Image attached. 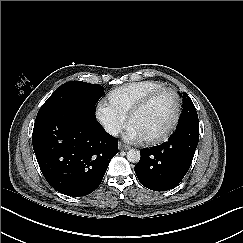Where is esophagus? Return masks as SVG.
Here are the masks:
<instances>
[{"label": "esophagus", "mask_w": 243, "mask_h": 243, "mask_svg": "<svg viewBox=\"0 0 243 243\" xmlns=\"http://www.w3.org/2000/svg\"><path fill=\"white\" fill-rule=\"evenodd\" d=\"M119 146H120V149H122V150H129L130 149V146L122 144V143H120Z\"/></svg>", "instance_id": "34e87169"}]
</instances>
